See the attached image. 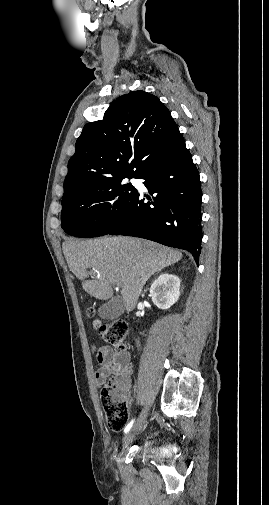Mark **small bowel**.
I'll use <instances>...</instances> for the list:
<instances>
[{
  "label": "small bowel",
  "mask_w": 269,
  "mask_h": 505,
  "mask_svg": "<svg viewBox=\"0 0 269 505\" xmlns=\"http://www.w3.org/2000/svg\"><path fill=\"white\" fill-rule=\"evenodd\" d=\"M94 360L98 365L95 379L99 386L106 383L109 377H116L125 383L124 397L129 401L128 384L131 376L130 354L113 352L105 346L94 349Z\"/></svg>",
  "instance_id": "small-bowel-1"
}]
</instances>
